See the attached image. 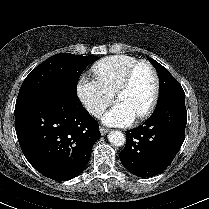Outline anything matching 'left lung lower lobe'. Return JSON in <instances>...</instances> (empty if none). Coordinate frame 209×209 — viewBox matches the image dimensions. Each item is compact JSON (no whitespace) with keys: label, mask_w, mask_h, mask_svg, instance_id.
I'll list each match as a JSON object with an SVG mask.
<instances>
[{"label":"left lung lower lobe","mask_w":209,"mask_h":209,"mask_svg":"<svg viewBox=\"0 0 209 209\" xmlns=\"http://www.w3.org/2000/svg\"><path fill=\"white\" fill-rule=\"evenodd\" d=\"M186 123L185 97L157 103L153 114L142 125L125 132L126 145L120 153L121 163L139 177L161 173L183 144Z\"/></svg>","instance_id":"left-lung-lower-lobe-1"}]
</instances>
